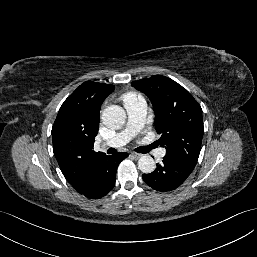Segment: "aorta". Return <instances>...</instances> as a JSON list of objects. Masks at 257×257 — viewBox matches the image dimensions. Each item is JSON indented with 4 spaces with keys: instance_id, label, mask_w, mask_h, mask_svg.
I'll use <instances>...</instances> for the list:
<instances>
[{
    "instance_id": "aorta-1",
    "label": "aorta",
    "mask_w": 257,
    "mask_h": 257,
    "mask_svg": "<svg viewBox=\"0 0 257 257\" xmlns=\"http://www.w3.org/2000/svg\"><path fill=\"white\" fill-rule=\"evenodd\" d=\"M126 120L125 110L118 106L112 105L102 112L103 124L110 129H120ZM155 161L151 156L144 155L138 160V168L143 173H152L155 170Z\"/></svg>"
}]
</instances>
